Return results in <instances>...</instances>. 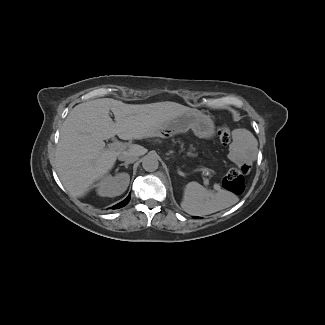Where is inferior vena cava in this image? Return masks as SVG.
<instances>
[{
  "label": "inferior vena cava",
  "instance_id": "1",
  "mask_svg": "<svg viewBox=\"0 0 325 325\" xmlns=\"http://www.w3.org/2000/svg\"><path fill=\"white\" fill-rule=\"evenodd\" d=\"M120 161H125V163H134L138 160V155L134 152H124L118 156Z\"/></svg>",
  "mask_w": 325,
  "mask_h": 325
}]
</instances>
